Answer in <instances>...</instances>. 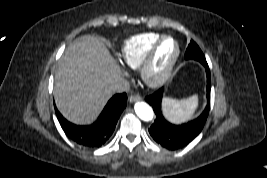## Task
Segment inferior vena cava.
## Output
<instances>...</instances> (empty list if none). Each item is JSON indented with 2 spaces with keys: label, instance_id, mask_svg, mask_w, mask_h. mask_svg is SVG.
I'll return each instance as SVG.
<instances>
[{
  "label": "inferior vena cava",
  "instance_id": "602c4592",
  "mask_svg": "<svg viewBox=\"0 0 267 178\" xmlns=\"http://www.w3.org/2000/svg\"><path fill=\"white\" fill-rule=\"evenodd\" d=\"M129 89L130 83L123 77H118L108 87V91L111 93L128 92Z\"/></svg>",
  "mask_w": 267,
  "mask_h": 178
}]
</instances>
